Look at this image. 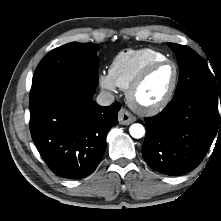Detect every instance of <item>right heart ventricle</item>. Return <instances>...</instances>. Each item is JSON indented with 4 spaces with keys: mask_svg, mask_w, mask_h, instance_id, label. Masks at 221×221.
<instances>
[{
    "mask_svg": "<svg viewBox=\"0 0 221 221\" xmlns=\"http://www.w3.org/2000/svg\"><path fill=\"white\" fill-rule=\"evenodd\" d=\"M165 58L163 53L151 48L128 49L112 60L109 74L118 87L127 89L147 64Z\"/></svg>",
    "mask_w": 221,
    "mask_h": 221,
    "instance_id": "right-heart-ventricle-1",
    "label": "right heart ventricle"
}]
</instances>
